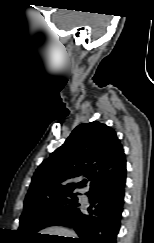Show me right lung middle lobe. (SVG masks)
Listing matches in <instances>:
<instances>
[{
    "label": "right lung middle lobe",
    "instance_id": "obj_1",
    "mask_svg": "<svg viewBox=\"0 0 154 243\" xmlns=\"http://www.w3.org/2000/svg\"><path fill=\"white\" fill-rule=\"evenodd\" d=\"M80 210L76 195H65L38 204L24 207L20 218L19 232L25 238H32L47 227L58 225L65 217Z\"/></svg>",
    "mask_w": 154,
    "mask_h": 243
}]
</instances>
